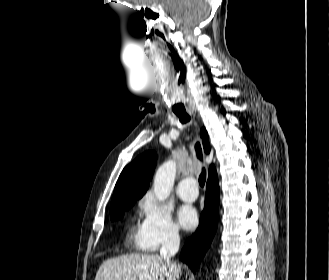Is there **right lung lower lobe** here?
<instances>
[{"label":"right lung lower lobe","mask_w":329,"mask_h":280,"mask_svg":"<svg viewBox=\"0 0 329 280\" xmlns=\"http://www.w3.org/2000/svg\"><path fill=\"white\" fill-rule=\"evenodd\" d=\"M219 210V185L217 173L208 177L205 208L200 217L197 231L186 240L181 251V260L196 271L215 235Z\"/></svg>","instance_id":"1"}]
</instances>
